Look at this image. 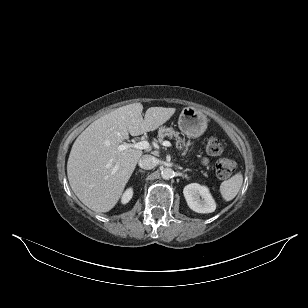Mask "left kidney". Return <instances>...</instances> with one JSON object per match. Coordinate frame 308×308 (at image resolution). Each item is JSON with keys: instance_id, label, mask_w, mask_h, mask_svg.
<instances>
[{"instance_id": "1", "label": "left kidney", "mask_w": 308, "mask_h": 308, "mask_svg": "<svg viewBox=\"0 0 308 308\" xmlns=\"http://www.w3.org/2000/svg\"><path fill=\"white\" fill-rule=\"evenodd\" d=\"M183 194L190 209L197 213H211L216 209V203L206 186L191 183L184 187Z\"/></svg>"}]
</instances>
